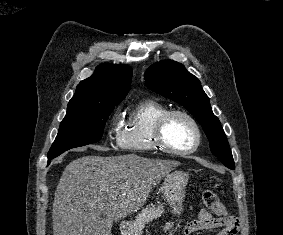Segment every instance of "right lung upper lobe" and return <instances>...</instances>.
<instances>
[{"label":"right lung upper lobe","mask_w":283,"mask_h":235,"mask_svg":"<svg viewBox=\"0 0 283 235\" xmlns=\"http://www.w3.org/2000/svg\"><path fill=\"white\" fill-rule=\"evenodd\" d=\"M132 79V69L126 65L102 64L94 74L81 81L68 104H88L122 101Z\"/></svg>","instance_id":"obj_1"}]
</instances>
